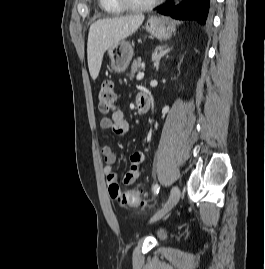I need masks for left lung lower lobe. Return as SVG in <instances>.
<instances>
[{"label":"left lung lower lobe","instance_id":"obj_1","mask_svg":"<svg viewBox=\"0 0 265 269\" xmlns=\"http://www.w3.org/2000/svg\"><path fill=\"white\" fill-rule=\"evenodd\" d=\"M215 0H183L175 6L173 0L157 10L158 13L179 20H193L205 25L211 18Z\"/></svg>","mask_w":265,"mask_h":269}]
</instances>
